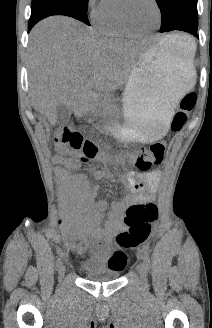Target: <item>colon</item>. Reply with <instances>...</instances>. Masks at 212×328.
<instances>
[{
  "instance_id": "1",
  "label": "colon",
  "mask_w": 212,
  "mask_h": 328,
  "mask_svg": "<svg viewBox=\"0 0 212 328\" xmlns=\"http://www.w3.org/2000/svg\"><path fill=\"white\" fill-rule=\"evenodd\" d=\"M197 100L195 92L185 94L179 104L171 123V130L178 132L186 125ZM56 145L63 150L75 155L83 164H92L95 161L106 159V155L100 152L97 145L86 139L82 133L73 126L64 125L59 127L54 134ZM166 144L158 141L141 150L135 157H127L120 163V156H111L110 165H99L102 173H111L112 170H137L148 171L153 164L158 165L163 161ZM135 162V163H127ZM158 217V209L153 203L135 204L126 211V221L129 229L118 234L116 242L121 248L114 252L110 258L111 265L125 266L127 255L122 249H131L144 243L150 235L151 224Z\"/></svg>"
}]
</instances>
